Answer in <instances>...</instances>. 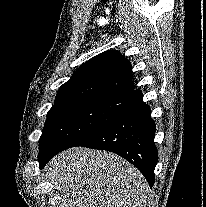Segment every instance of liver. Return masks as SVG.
<instances>
[{
    "label": "liver",
    "mask_w": 206,
    "mask_h": 207,
    "mask_svg": "<svg viewBox=\"0 0 206 207\" xmlns=\"http://www.w3.org/2000/svg\"><path fill=\"white\" fill-rule=\"evenodd\" d=\"M46 178L60 195L59 207H145L149 185L120 156L74 147L45 167Z\"/></svg>",
    "instance_id": "liver-1"
}]
</instances>
